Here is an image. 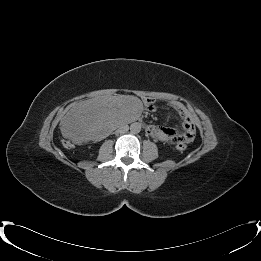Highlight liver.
I'll return each mask as SVG.
<instances>
[{"label": "liver", "instance_id": "1", "mask_svg": "<svg viewBox=\"0 0 261 261\" xmlns=\"http://www.w3.org/2000/svg\"><path fill=\"white\" fill-rule=\"evenodd\" d=\"M141 101L133 96L99 97L78 102L60 123L62 134L74 143L97 138L120 123L138 116Z\"/></svg>", "mask_w": 261, "mask_h": 261}]
</instances>
